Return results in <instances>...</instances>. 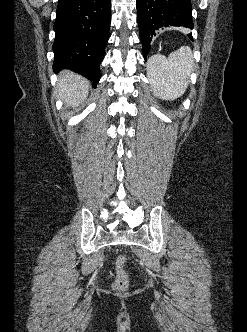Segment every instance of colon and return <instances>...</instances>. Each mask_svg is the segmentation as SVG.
<instances>
[{"mask_svg":"<svg viewBox=\"0 0 247 332\" xmlns=\"http://www.w3.org/2000/svg\"><path fill=\"white\" fill-rule=\"evenodd\" d=\"M126 258L120 255L115 260V279L112 287L117 292H125L129 286V275L125 269Z\"/></svg>","mask_w":247,"mask_h":332,"instance_id":"1","label":"colon"}]
</instances>
